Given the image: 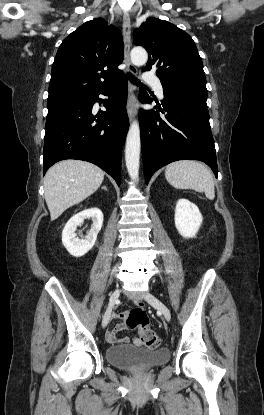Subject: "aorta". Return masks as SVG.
Masks as SVG:
<instances>
[{
    "label": "aorta",
    "mask_w": 264,
    "mask_h": 415,
    "mask_svg": "<svg viewBox=\"0 0 264 415\" xmlns=\"http://www.w3.org/2000/svg\"><path fill=\"white\" fill-rule=\"evenodd\" d=\"M131 61L135 65H143L148 60V54L142 47H134L131 50ZM125 161L129 176L136 180L139 175L140 164V129L137 121L130 125L125 147Z\"/></svg>",
    "instance_id": "obj_1"
}]
</instances>
